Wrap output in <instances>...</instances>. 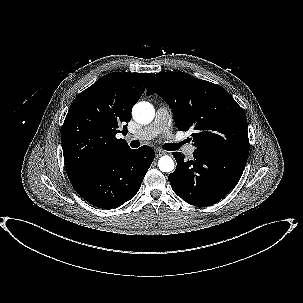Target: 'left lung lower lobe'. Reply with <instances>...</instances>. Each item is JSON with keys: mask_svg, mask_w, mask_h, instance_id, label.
<instances>
[{"mask_svg": "<svg viewBox=\"0 0 303 303\" xmlns=\"http://www.w3.org/2000/svg\"><path fill=\"white\" fill-rule=\"evenodd\" d=\"M176 170L168 177L173 191L194 206L213 205L226 196L240 180L247 155L217 151H198L192 160L173 152Z\"/></svg>", "mask_w": 303, "mask_h": 303, "instance_id": "1", "label": "left lung lower lobe"}]
</instances>
